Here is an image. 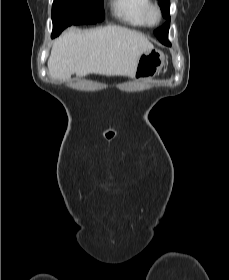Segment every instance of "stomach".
I'll return each instance as SVG.
<instances>
[{
  "label": "stomach",
  "mask_w": 229,
  "mask_h": 280,
  "mask_svg": "<svg viewBox=\"0 0 229 280\" xmlns=\"http://www.w3.org/2000/svg\"><path fill=\"white\" fill-rule=\"evenodd\" d=\"M165 62V55L158 49H151L144 52L138 59L133 78L137 80L151 79L162 69Z\"/></svg>",
  "instance_id": "stomach-1"
}]
</instances>
